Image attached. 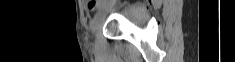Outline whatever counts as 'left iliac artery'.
<instances>
[{
    "label": "left iliac artery",
    "mask_w": 235,
    "mask_h": 62,
    "mask_svg": "<svg viewBox=\"0 0 235 62\" xmlns=\"http://www.w3.org/2000/svg\"><path fill=\"white\" fill-rule=\"evenodd\" d=\"M103 4H104V2H100L97 6V9L99 10Z\"/></svg>",
    "instance_id": "left-iliac-artery-1"
}]
</instances>
